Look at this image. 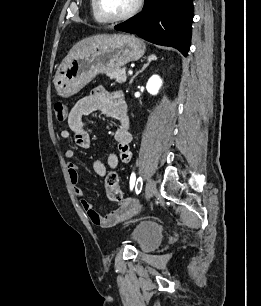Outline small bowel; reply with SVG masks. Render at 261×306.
<instances>
[{
  "mask_svg": "<svg viewBox=\"0 0 261 306\" xmlns=\"http://www.w3.org/2000/svg\"><path fill=\"white\" fill-rule=\"evenodd\" d=\"M97 111L111 117L116 123L114 139L117 145V153H109L105 162L97 158L92 163L95 173L100 177H104L107 174L106 166L110 169H116L120 162L129 163L132 158L130 150L132 134L127 115V106L120 92H111L104 88H97L89 95L80 99L69 112L68 128L63 129L60 132V136L64 140L73 137L77 147L83 149L89 148L91 145V137L84 126L83 118ZM76 154L77 150L75 148H69L65 151L64 156L67 160H72ZM67 167L74 192L80 199L82 208L94 225L112 227L133 216L138 211V202L134 198L128 197L123 204L112 212L107 214L99 213L84 198L83 189L79 185L77 164L69 162Z\"/></svg>",
  "mask_w": 261,
  "mask_h": 306,
  "instance_id": "obj_1",
  "label": "small bowel"
}]
</instances>
